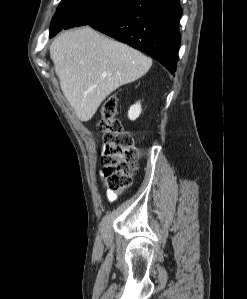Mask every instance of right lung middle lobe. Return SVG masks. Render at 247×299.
I'll return each instance as SVG.
<instances>
[{"instance_id": "1", "label": "right lung middle lobe", "mask_w": 247, "mask_h": 299, "mask_svg": "<svg viewBox=\"0 0 247 299\" xmlns=\"http://www.w3.org/2000/svg\"><path fill=\"white\" fill-rule=\"evenodd\" d=\"M132 0H62L52 19L50 36L62 29L90 25L106 19L123 8Z\"/></svg>"}]
</instances>
